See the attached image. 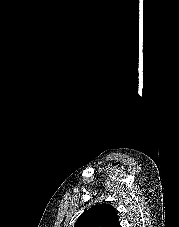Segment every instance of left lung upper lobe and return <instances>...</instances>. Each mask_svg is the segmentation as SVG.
I'll return each mask as SVG.
<instances>
[{
	"label": "left lung upper lobe",
	"mask_w": 179,
	"mask_h": 227,
	"mask_svg": "<svg viewBox=\"0 0 179 227\" xmlns=\"http://www.w3.org/2000/svg\"><path fill=\"white\" fill-rule=\"evenodd\" d=\"M74 227H121V225L115 208L102 203L81 214Z\"/></svg>",
	"instance_id": "obj_1"
}]
</instances>
